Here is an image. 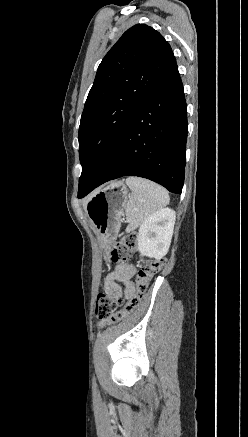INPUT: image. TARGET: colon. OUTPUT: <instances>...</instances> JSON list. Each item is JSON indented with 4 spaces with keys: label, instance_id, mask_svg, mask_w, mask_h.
Segmentation results:
<instances>
[{
    "label": "colon",
    "instance_id": "1",
    "mask_svg": "<svg viewBox=\"0 0 248 437\" xmlns=\"http://www.w3.org/2000/svg\"><path fill=\"white\" fill-rule=\"evenodd\" d=\"M135 248L136 237L134 235L124 236L111 251L112 262H127L131 259ZM164 264V259L145 260L136 279L135 292L127 301H124L122 297L113 298L107 293H99L95 306L96 316L100 320L99 326L106 327L128 317L139 305L150 281L163 268Z\"/></svg>",
    "mask_w": 248,
    "mask_h": 437
}]
</instances>
